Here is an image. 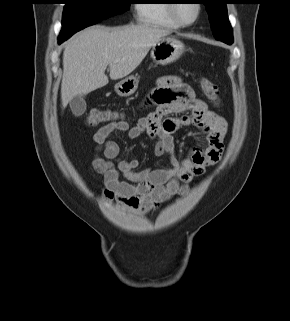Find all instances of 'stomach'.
I'll use <instances>...</instances> for the list:
<instances>
[{
    "label": "stomach",
    "instance_id": "0dacf381",
    "mask_svg": "<svg viewBox=\"0 0 290 321\" xmlns=\"http://www.w3.org/2000/svg\"><path fill=\"white\" fill-rule=\"evenodd\" d=\"M185 51L184 44L174 36L162 37L151 50V58L160 65H167L179 59ZM138 87V79L126 77L115 85L116 93L121 97L132 95Z\"/></svg>",
    "mask_w": 290,
    "mask_h": 321
}]
</instances>
